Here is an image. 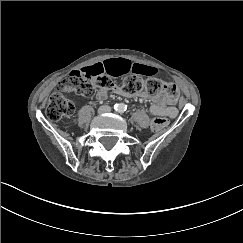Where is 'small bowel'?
<instances>
[{
  "label": "small bowel",
  "mask_w": 243,
  "mask_h": 243,
  "mask_svg": "<svg viewBox=\"0 0 243 243\" xmlns=\"http://www.w3.org/2000/svg\"><path fill=\"white\" fill-rule=\"evenodd\" d=\"M82 72L87 74L103 73L118 77L129 72L140 75H154L156 73V68L120 58L93 64L84 68ZM117 92L123 94L120 90H117ZM105 97L106 93H98L97 95L98 99H104ZM150 110L154 115L166 116L170 118H174L178 114L177 108L167 105L166 100L160 96L153 99V104Z\"/></svg>",
  "instance_id": "c3829d8e"
}]
</instances>
